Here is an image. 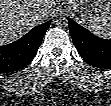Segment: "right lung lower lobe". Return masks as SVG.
Listing matches in <instances>:
<instances>
[{
    "instance_id": "98d812e1",
    "label": "right lung lower lobe",
    "mask_w": 111,
    "mask_h": 106,
    "mask_svg": "<svg viewBox=\"0 0 111 106\" xmlns=\"http://www.w3.org/2000/svg\"><path fill=\"white\" fill-rule=\"evenodd\" d=\"M50 23L51 21L45 22L17 41L0 46V72H13L29 64L35 57Z\"/></svg>"
}]
</instances>
